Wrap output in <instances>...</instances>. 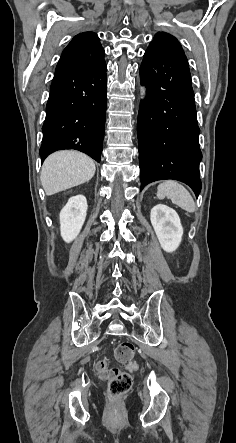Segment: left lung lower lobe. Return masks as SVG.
Returning a JSON list of instances; mask_svg holds the SVG:
<instances>
[{"instance_id": "left-lung-lower-lobe-1", "label": "left lung lower lobe", "mask_w": 236, "mask_h": 443, "mask_svg": "<svg viewBox=\"0 0 236 443\" xmlns=\"http://www.w3.org/2000/svg\"><path fill=\"white\" fill-rule=\"evenodd\" d=\"M140 79L147 87L137 121L141 190L153 181L174 179L198 197L200 129L185 54L147 49Z\"/></svg>"}]
</instances>
